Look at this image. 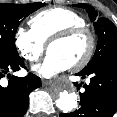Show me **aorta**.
<instances>
[{"label":"aorta","instance_id":"1","mask_svg":"<svg viewBox=\"0 0 117 117\" xmlns=\"http://www.w3.org/2000/svg\"><path fill=\"white\" fill-rule=\"evenodd\" d=\"M56 106L63 112L68 113L77 107V95L75 92L64 90L59 93V98L56 100Z\"/></svg>","mask_w":117,"mask_h":117}]
</instances>
